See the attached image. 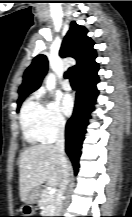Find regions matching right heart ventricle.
Listing matches in <instances>:
<instances>
[{
    "label": "right heart ventricle",
    "mask_w": 132,
    "mask_h": 217,
    "mask_svg": "<svg viewBox=\"0 0 132 217\" xmlns=\"http://www.w3.org/2000/svg\"><path fill=\"white\" fill-rule=\"evenodd\" d=\"M43 105L34 99H28L22 106L20 123L24 139L30 145L45 142L42 132Z\"/></svg>",
    "instance_id": "right-heart-ventricle-1"
}]
</instances>
